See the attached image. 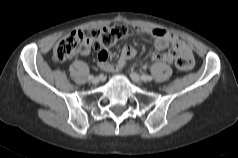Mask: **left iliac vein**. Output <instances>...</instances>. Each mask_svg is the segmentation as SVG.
<instances>
[{
    "mask_svg": "<svg viewBox=\"0 0 238 158\" xmlns=\"http://www.w3.org/2000/svg\"><path fill=\"white\" fill-rule=\"evenodd\" d=\"M130 77H131V79L134 81V82H136V83H141L142 82V78L137 74V73H135V72H132L131 74H130Z\"/></svg>",
    "mask_w": 238,
    "mask_h": 158,
    "instance_id": "left-iliac-vein-1",
    "label": "left iliac vein"
}]
</instances>
